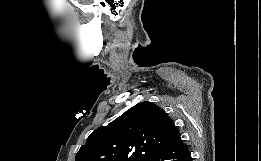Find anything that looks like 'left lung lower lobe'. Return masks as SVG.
I'll use <instances>...</instances> for the list:
<instances>
[{
	"mask_svg": "<svg viewBox=\"0 0 261 161\" xmlns=\"http://www.w3.org/2000/svg\"><path fill=\"white\" fill-rule=\"evenodd\" d=\"M150 161H192L191 154L183 144L180 134L175 131L167 144L156 148L151 154Z\"/></svg>",
	"mask_w": 261,
	"mask_h": 161,
	"instance_id": "obj_1",
	"label": "left lung lower lobe"
}]
</instances>
